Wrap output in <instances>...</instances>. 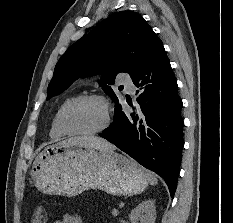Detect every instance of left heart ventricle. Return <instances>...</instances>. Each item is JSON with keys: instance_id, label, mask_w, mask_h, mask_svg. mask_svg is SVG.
Returning a JSON list of instances; mask_svg holds the SVG:
<instances>
[{"instance_id": "obj_1", "label": "left heart ventricle", "mask_w": 233, "mask_h": 223, "mask_svg": "<svg viewBox=\"0 0 233 223\" xmlns=\"http://www.w3.org/2000/svg\"><path fill=\"white\" fill-rule=\"evenodd\" d=\"M106 121L104 106L97 100L80 102L74 105L67 115L69 127L76 132H94Z\"/></svg>"}]
</instances>
